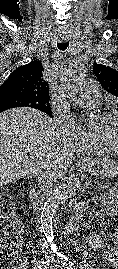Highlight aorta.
<instances>
[{
	"label": "aorta",
	"instance_id": "762f6f07",
	"mask_svg": "<svg viewBox=\"0 0 118 269\" xmlns=\"http://www.w3.org/2000/svg\"><path fill=\"white\" fill-rule=\"evenodd\" d=\"M84 78L85 71L81 64H75L70 67L61 78V87L63 93L68 98L75 97L80 91ZM79 118L83 124H89L91 122L88 112H80ZM79 186V180L73 176H70L63 184L54 190L52 195L44 203L40 219L41 231L47 243L53 250H56L55 235L53 230V218L56 209L62 201L71 198L76 193Z\"/></svg>",
	"mask_w": 118,
	"mask_h": 269
}]
</instances>
